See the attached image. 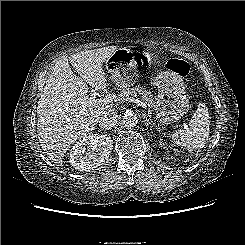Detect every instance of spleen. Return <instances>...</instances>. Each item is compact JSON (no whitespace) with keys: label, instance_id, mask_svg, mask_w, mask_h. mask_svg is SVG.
<instances>
[{"label":"spleen","instance_id":"3e777b00","mask_svg":"<svg viewBox=\"0 0 245 245\" xmlns=\"http://www.w3.org/2000/svg\"><path fill=\"white\" fill-rule=\"evenodd\" d=\"M209 114L204 103H200L186 130H177L172 134V139L178 145L191 150H201L205 147L209 136Z\"/></svg>","mask_w":245,"mask_h":245}]
</instances>
